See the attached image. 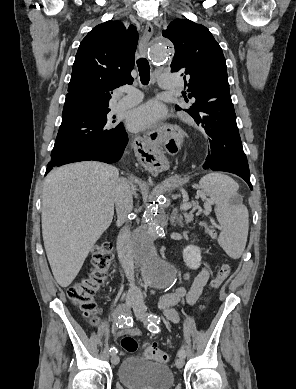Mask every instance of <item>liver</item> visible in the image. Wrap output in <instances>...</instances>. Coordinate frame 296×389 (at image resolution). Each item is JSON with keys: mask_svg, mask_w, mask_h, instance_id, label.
Instances as JSON below:
<instances>
[{"mask_svg": "<svg viewBox=\"0 0 296 389\" xmlns=\"http://www.w3.org/2000/svg\"><path fill=\"white\" fill-rule=\"evenodd\" d=\"M118 179L116 167L92 161L59 167L46 177L42 235L52 273L61 287L72 283L110 226Z\"/></svg>", "mask_w": 296, "mask_h": 389, "instance_id": "obj_1", "label": "liver"}]
</instances>
